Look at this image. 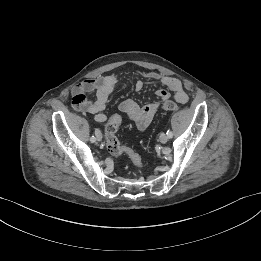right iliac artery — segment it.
<instances>
[{
	"label": "right iliac artery",
	"mask_w": 261,
	"mask_h": 261,
	"mask_svg": "<svg viewBox=\"0 0 261 261\" xmlns=\"http://www.w3.org/2000/svg\"><path fill=\"white\" fill-rule=\"evenodd\" d=\"M96 131H97V130H96ZM96 131H95V132H96ZM95 140H96L95 136H91L90 141H91V142H95Z\"/></svg>",
	"instance_id": "82829eb1"
}]
</instances>
